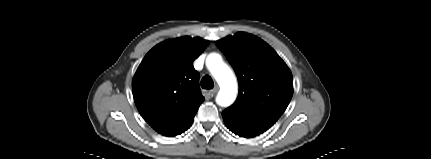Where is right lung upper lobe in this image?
Listing matches in <instances>:
<instances>
[{
  "mask_svg": "<svg viewBox=\"0 0 431 159\" xmlns=\"http://www.w3.org/2000/svg\"><path fill=\"white\" fill-rule=\"evenodd\" d=\"M209 41L189 36L164 41L152 48L139 65L132 90L138 111L165 136L186 131L204 101L193 61Z\"/></svg>",
  "mask_w": 431,
  "mask_h": 159,
  "instance_id": "1",
  "label": "right lung upper lobe"
}]
</instances>
